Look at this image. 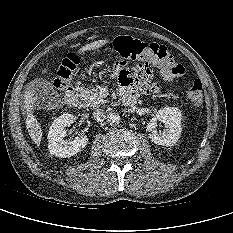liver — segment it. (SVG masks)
<instances>
[{
  "instance_id": "6515ba94",
  "label": "liver",
  "mask_w": 233,
  "mask_h": 233,
  "mask_svg": "<svg viewBox=\"0 0 233 233\" xmlns=\"http://www.w3.org/2000/svg\"><path fill=\"white\" fill-rule=\"evenodd\" d=\"M107 43H108V40L106 39L94 41L92 43H89L83 46L78 51V53L81 54V53H84L86 51H90L93 49H99L100 47H102L103 45ZM43 72L45 73L46 69ZM37 100L38 98L35 96L33 90H29V89L26 90L24 94V108L26 110V116H27L25 120V124L28 130V133L30 135V138L37 146H39L43 132L40 127V123L37 121V119L35 118L33 114L34 105Z\"/></svg>"
}]
</instances>
